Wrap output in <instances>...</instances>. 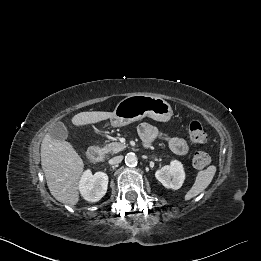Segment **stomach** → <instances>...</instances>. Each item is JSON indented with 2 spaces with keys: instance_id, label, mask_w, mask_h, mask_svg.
Segmentation results:
<instances>
[{
  "instance_id": "obj_1",
  "label": "stomach",
  "mask_w": 261,
  "mask_h": 261,
  "mask_svg": "<svg viewBox=\"0 0 261 261\" xmlns=\"http://www.w3.org/2000/svg\"><path fill=\"white\" fill-rule=\"evenodd\" d=\"M110 118L113 127L125 126L132 122L150 117L156 121L166 122L172 114L170 104L155 95L138 93L122 99Z\"/></svg>"
}]
</instances>
